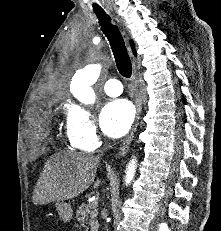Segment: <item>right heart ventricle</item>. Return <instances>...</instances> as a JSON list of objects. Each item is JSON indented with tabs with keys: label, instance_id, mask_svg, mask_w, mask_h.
<instances>
[{
	"label": "right heart ventricle",
	"instance_id": "obj_1",
	"mask_svg": "<svg viewBox=\"0 0 221 231\" xmlns=\"http://www.w3.org/2000/svg\"><path fill=\"white\" fill-rule=\"evenodd\" d=\"M68 137H69V144H70V146H72V147H74V148H79V147L75 144V142L73 141V139L69 136V134H68Z\"/></svg>",
	"mask_w": 221,
	"mask_h": 231
}]
</instances>
